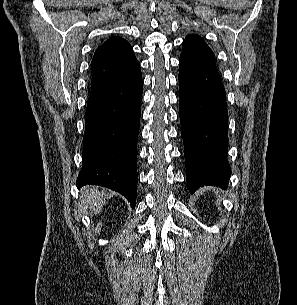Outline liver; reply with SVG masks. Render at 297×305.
I'll list each match as a JSON object with an SVG mask.
<instances>
[{"mask_svg":"<svg viewBox=\"0 0 297 305\" xmlns=\"http://www.w3.org/2000/svg\"><path fill=\"white\" fill-rule=\"evenodd\" d=\"M107 194L98 187L90 186L81 190L80 208L83 210L89 209L91 212L99 213L105 203Z\"/></svg>","mask_w":297,"mask_h":305,"instance_id":"liver-1","label":"liver"}]
</instances>
